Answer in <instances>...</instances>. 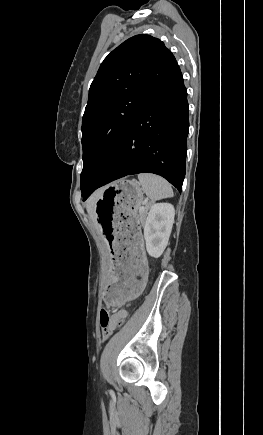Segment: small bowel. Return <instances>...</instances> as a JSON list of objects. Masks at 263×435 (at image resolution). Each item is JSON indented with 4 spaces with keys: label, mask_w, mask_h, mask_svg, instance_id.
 I'll use <instances>...</instances> for the list:
<instances>
[{
    "label": "small bowel",
    "mask_w": 263,
    "mask_h": 435,
    "mask_svg": "<svg viewBox=\"0 0 263 435\" xmlns=\"http://www.w3.org/2000/svg\"><path fill=\"white\" fill-rule=\"evenodd\" d=\"M127 313L125 311H120L117 315L116 318L117 319H124L126 317ZM105 328L107 330H113L115 328V323L113 321H107L105 323Z\"/></svg>",
    "instance_id": "c3829d8e"
}]
</instances>
